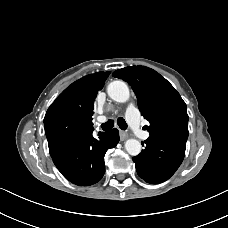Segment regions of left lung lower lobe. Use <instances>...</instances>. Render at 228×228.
<instances>
[{
	"label": "left lung lower lobe",
	"instance_id": "0a47b994",
	"mask_svg": "<svg viewBox=\"0 0 228 228\" xmlns=\"http://www.w3.org/2000/svg\"><path fill=\"white\" fill-rule=\"evenodd\" d=\"M145 149L133 157L138 175L148 183L168 180L183 161L186 142L169 135H150Z\"/></svg>",
	"mask_w": 228,
	"mask_h": 228
}]
</instances>
